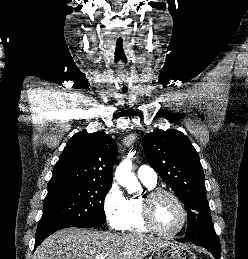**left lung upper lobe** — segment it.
I'll list each match as a JSON object with an SVG mask.
<instances>
[{"label": "left lung upper lobe", "mask_w": 248, "mask_h": 259, "mask_svg": "<svg viewBox=\"0 0 248 259\" xmlns=\"http://www.w3.org/2000/svg\"><path fill=\"white\" fill-rule=\"evenodd\" d=\"M146 159L181 198L188 215L185 236L214 232L204 172L190 140L175 129H157L143 138Z\"/></svg>", "instance_id": "obj_1"}]
</instances>
